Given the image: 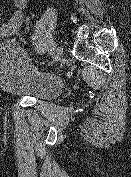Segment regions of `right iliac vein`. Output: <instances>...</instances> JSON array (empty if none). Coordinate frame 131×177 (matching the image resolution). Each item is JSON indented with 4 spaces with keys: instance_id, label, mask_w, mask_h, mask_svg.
I'll return each instance as SVG.
<instances>
[{
    "instance_id": "obj_1",
    "label": "right iliac vein",
    "mask_w": 131,
    "mask_h": 177,
    "mask_svg": "<svg viewBox=\"0 0 131 177\" xmlns=\"http://www.w3.org/2000/svg\"><path fill=\"white\" fill-rule=\"evenodd\" d=\"M60 53H61V49L60 48L55 50V53H54L55 57H58L60 55Z\"/></svg>"
}]
</instances>
